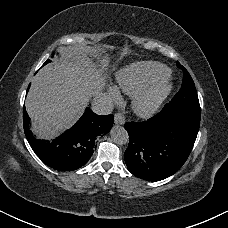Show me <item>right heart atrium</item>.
<instances>
[{"mask_svg": "<svg viewBox=\"0 0 228 228\" xmlns=\"http://www.w3.org/2000/svg\"><path fill=\"white\" fill-rule=\"evenodd\" d=\"M109 94H110L111 97H112L113 99H115V100H119V98H120L118 92H117L115 89H113V88H110V89H109Z\"/></svg>", "mask_w": 228, "mask_h": 228, "instance_id": "right-heart-atrium-1", "label": "right heart atrium"}]
</instances>
